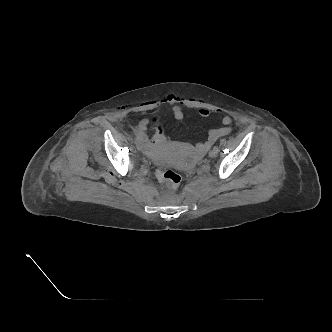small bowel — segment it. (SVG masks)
I'll use <instances>...</instances> for the list:
<instances>
[{
  "label": "small bowel",
  "mask_w": 332,
  "mask_h": 332,
  "mask_svg": "<svg viewBox=\"0 0 332 332\" xmlns=\"http://www.w3.org/2000/svg\"><path fill=\"white\" fill-rule=\"evenodd\" d=\"M161 104H169L172 107V112L177 120H182L185 117V112L182 107L183 100L175 95H169L167 96L164 100L157 101L153 103V107H157ZM210 114L209 110L207 109H200L199 110V115L203 118L208 117ZM232 122V118L229 115H225L222 118V124L223 127L217 128V129H210L208 132V137L203 143H198L196 145V149L198 153H204L206 150H208L220 137H223L225 135H228L231 132V127L230 124ZM149 124L148 119H143L139 125H138V130L144 134L147 130ZM165 139L163 141H159L155 136L153 139L146 141L143 150L147 154H153V152L164 143Z\"/></svg>",
  "instance_id": "c3829d8e"
}]
</instances>
